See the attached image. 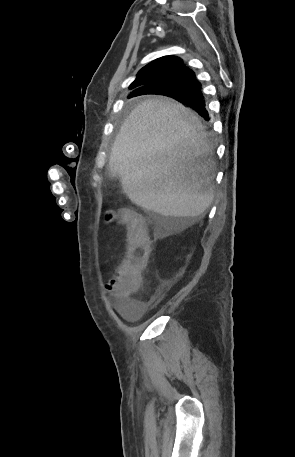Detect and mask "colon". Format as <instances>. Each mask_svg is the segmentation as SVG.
<instances>
[{
	"label": "colon",
	"mask_w": 295,
	"mask_h": 457,
	"mask_svg": "<svg viewBox=\"0 0 295 457\" xmlns=\"http://www.w3.org/2000/svg\"><path fill=\"white\" fill-rule=\"evenodd\" d=\"M111 217L112 215H109V218ZM118 217L128 229V250L124 261L113 279L106 284V288L119 296L129 297L140 287L141 272L146 266L150 252V241L141 215L131 210H123ZM112 282L117 283L115 291Z\"/></svg>",
	"instance_id": "obj_1"
}]
</instances>
